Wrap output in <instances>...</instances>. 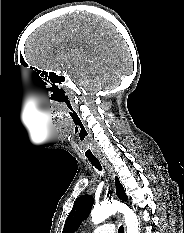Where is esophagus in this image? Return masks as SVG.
I'll use <instances>...</instances> for the list:
<instances>
[{"mask_svg":"<svg viewBox=\"0 0 184 233\" xmlns=\"http://www.w3.org/2000/svg\"><path fill=\"white\" fill-rule=\"evenodd\" d=\"M102 163L105 165V168L108 170L110 179H111V183H112V187H114V177H115V173L114 170L112 168V166L106 161L101 159Z\"/></svg>","mask_w":184,"mask_h":233,"instance_id":"34e87169","label":"esophagus"}]
</instances>
